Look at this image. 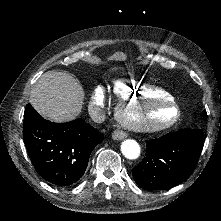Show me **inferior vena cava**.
Masks as SVG:
<instances>
[{
	"mask_svg": "<svg viewBox=\"0 0 221 221\" xmlns=\"http://www.w3.org/2000/svg\"><path fill=\"white\" fill-rule=\"evenodd\" d=\"M98 122L99 123H102L104 120H105V113H104V110L102 109H99L98 111Z\"/></svg>",
	"mask_w": 221,
	"mask_h": 221,
	"instance_id": "obj_1",
	"label": "inferior vena cava"
}]
</instances>
